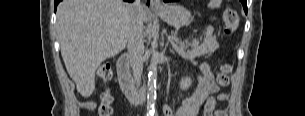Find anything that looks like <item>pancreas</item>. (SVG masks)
<instances>
[{
	"label": "pancreas",
	"instance_id": "pancreas-1",
	"mask_svg": "<svg viewBox=\"0 0 305 116\" xmlns=\"http://www.w3.org/2000/svg\"><path fill=\"white\" fill-rule=\"evenodd\" d=\"M171 37H174V40L178 43V45H174L177 53L185 59L200 57L204 54L210 53V50L207 47L200 46L199 41L196 39H193L191 43H184L179 41L175 34ZM189 47H191L192 50H189Z\"/></svg>",
	"mask_w": 305,
	"mask_h": 116
}]
</instances>
